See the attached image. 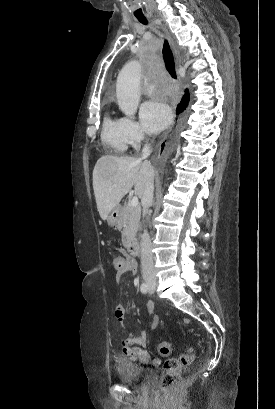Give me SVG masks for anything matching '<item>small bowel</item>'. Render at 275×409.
<instances>
[{
    "label": "small bowel",
    "instance_id": "1",
    "mask_svg": "<svg viewBox=\"0 0 275 409\" xmlns=\"http://www.w3.org/2000/svg\"><path fill=\"white\" fill-rule=\"evenodd\" d=\"M138 271V265L135 261L130 259L123 258V269L121 273H117V278L119 279L122 275H127L129 272L136 273ZM146 312L151 315V319L149 321L148 327L151 330L157 328L159 324V317L153 315L154 313V304L151 301L146 302L145 304ZM125 308L122 304L116 305L114 309V316L119 321L122 322L125 318ZM147 342V334L145 331H140L138 334L132 336L129 335L125 339H123L120 343L126 346L123 347V354L126 355L128 360H141L144 363H148L153 366H157L160 364L159 359H151L149 358L148 354L142 349Z\"/></svg>",
    "mask_w": 275,
    "mask_h": 409
}]
</instances>
